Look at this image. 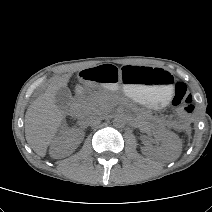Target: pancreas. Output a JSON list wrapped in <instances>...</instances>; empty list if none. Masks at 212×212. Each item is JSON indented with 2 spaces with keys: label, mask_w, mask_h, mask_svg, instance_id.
I'll return each instance as SVG.
<instances>
[{
  "label": "pancreas",
  "mask_w": 212,
  "mask_h": 212,
  "mask_svg": "<svg viewBox=\"0 0 212 212\" xmlns=\"http://www.w3.org/2000/svg\"><path fill=\"white\" fill-rule=\"evenodd\" d=\"M78 104L83 111L96 108L106 109L111 106L108 99H105L97 93L90 96L79 97Z\"/></svg>",
  "instance_id": "pancreas-1"
}]
</instances>
